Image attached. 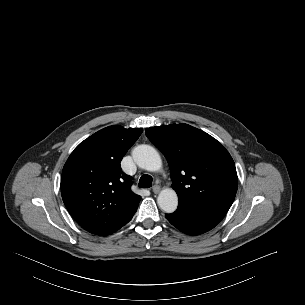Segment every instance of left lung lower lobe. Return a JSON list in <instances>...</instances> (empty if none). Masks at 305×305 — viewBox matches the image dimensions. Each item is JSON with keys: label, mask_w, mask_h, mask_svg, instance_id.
Instances as JSON below:
<instances>
[{"label": "left lung lower lobe", "mask_w": 305, "mask_h": 305, "mask_svg": "<svg viewBox=\"0 0 305 305\" xmlns=\"http://www.w3.org/2000/svg\"><path fill=\"white\" fill-rule=\"evenodd\" d=\"M229 208L225 205L203 207L178 205L174 213L165 216L180 231L189 235H199L214 228L224 218Z\"/></svg>", "instance_id": "1"}]
</instances>
